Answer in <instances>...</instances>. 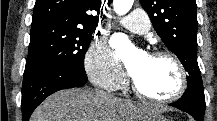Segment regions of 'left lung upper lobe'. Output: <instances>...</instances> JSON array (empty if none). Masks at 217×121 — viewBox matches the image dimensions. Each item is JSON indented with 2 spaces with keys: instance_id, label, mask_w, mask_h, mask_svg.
Segmentation results:
<instances>
[{
  "instance_id": "obj_1",
  "label": "left lung upper lobe",
  "mask_w": 217,
  "mask_h": 121,
  "mask_svg": "<svg viewBox=\"0 0 217 121\" xmlns=\"http://www.w3.org/2000/svg\"><path fill=\"white\" fill-rule=\"evenodd\" d=\"M153 27L166 47L181 61L187 71L188 86H193L203 100L204 89L198 67L197 16L195 0H140Z\"/></svg>"
}]
</instances>
